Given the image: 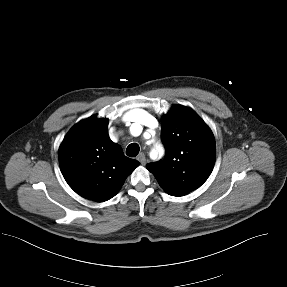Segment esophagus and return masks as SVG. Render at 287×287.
Returning <instances> with one entry per match:
<instances>
[{"instance_id": "esophagus-1", "label": "esophagus", "mask_w": 287, "mask_h": 287, "mask_svg": "<svg viewBox=\"0 0 287 287\" xmlns=\"http://www.w3.org/2000/svg\"><path fill=\"white\" fill-rule=\"evenodd\" d=\"M138 160H139V162L141 163V165H145V164H146V157H145L144 154H140V155L138 156Z\"/></svg>"}]
</instances>
